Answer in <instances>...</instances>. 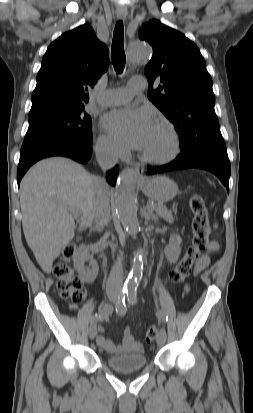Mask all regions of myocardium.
Here are the masks:
<instances>
[{
    "mask_svg": "<svg viewBox=\"0 0 253 413\" xmlns=\"http://www.w3.org/2000/svg\"><path fill=\"white\" fill-rule=\"evenodd\" d=\"M155 124L161 126L167 132L169 139H170V150L167 154L162 155V156L151 155L141 150L140 157L148 163L166 164V163L173 161L180 153V149H181L180 138H179V135L174 125L169 120L165 118H158L156 119Z\"/></svg>",
    "mask_w": 253,
    "mask_h": 413,
    "instance_id": "obj_1",
    "label": "myocardium"
}]
</instances>
